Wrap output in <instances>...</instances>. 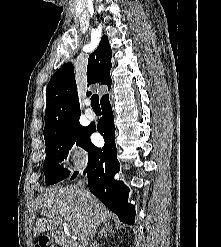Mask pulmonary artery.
<instances>
[{"instance_id": "pulmonary-artery-1", "label": "pulmonary artery", "mask_w": 221, "mask_h": 247, "mask_svg": "<svg viewBox=\"0 0 221 247\" xmlns=\"http://www.w3.org/2000/svg\"><path fill=\"white\" fill-rule=\"evenodd\" d=\"M85 116L89 119V120H94L96 118V115L94 113V111L90 108H87L85 110Z\"/></svg>"}]
</instances>
